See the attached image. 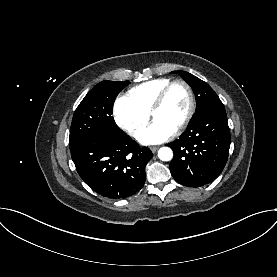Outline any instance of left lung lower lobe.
I'll return each instance as SVG.
<instances>
[{
  "label": "left lung lower lobe",
  "mask_w": 277,
  "mask_h": 277,
  "mask_svg": "<svg viewBox=\"0 0 277 277\" xmlns=\"http://www.w3.org/2000/svg\"><path fill=\"white\" fill-rule=\"evenodd\" d=\"M230 130L223 103L212 105L195 117L185 132L168 146L173 178L184 186L200 187L215 180L227 162Z\"/></svg>",
  "instance_id": "left-lung-lower-lobe-1"
}]
</instances>
